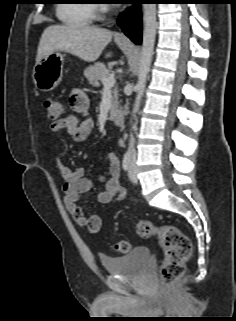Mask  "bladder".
I'll return each mask as SVG.
<instances>
[{"mask_svg": "<svg viewBox=\"0 0 236 321\" xmlns=\"http://www.w3.org/2000/svg\"><path fill=\"white\" fill-rule=\"evenodd\" d=\"M150 259L148 246H138L127 254L100 258L106 272L125 278H139Z\"/></svg>", "mask_w": 236, "mask_h": 321, "instance_id": "obj_1", "label": "bladder"}]
</instances>
